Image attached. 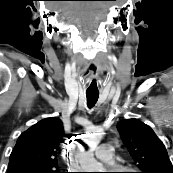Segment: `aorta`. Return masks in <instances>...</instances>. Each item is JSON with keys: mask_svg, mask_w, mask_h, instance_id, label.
<instances>
[{"mask_svg": "<svg viewBox=\"0 0 173 173\" xmlns=\"http://www.w3.org/2000/svg\"><path fill=\"white\" fill-rule=\"evenodd\" d=\"M100 140L101 133L99 130H95L93 133L88 134L85 138V141L89 146L99 144ZM77 158L83 172H103L102 164L95 160L92 151L80 150L77 153Z\"/></svg>", "mask_w": 173, "mask_h": 173, "instance_id": "aorta-1", "label": "aorta"}]
</instances>
